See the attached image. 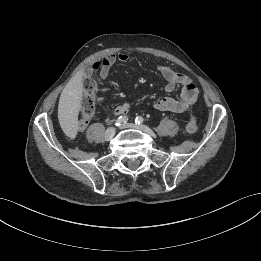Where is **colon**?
<instances>
[{"label":"colon","mask_w":261,"mask_h":261,"mask_svg":"<svg viewBox=\"0 0 261 261\" xmlns=\"http://www.w3.org/2000/svg\"><path fill=\"white\" fill-rule=\"evenodd\" d=\"M98 65L93 66L97 69ZM96 83L93 79H87L85 82V94L80 106L79 126L88 123L93 116L96 104ZM186 131L189 134H195L198 131L197 119L192 111L189 112V120L186 124Z\"/></svg>","instance_id":"obj_1"}]
</instances>
